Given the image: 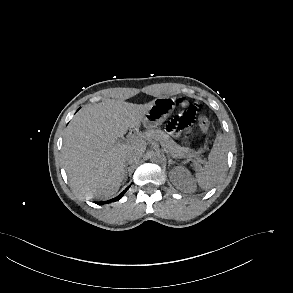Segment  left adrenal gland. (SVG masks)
Here are the masks:
<instances>
[{
    "instance_id": "left-adrenal-gland-1",
    "label": "left adrenal gland",
    "mask_w": 293,
    "mask_h": 293,
    "mask_svg": "<svg viewBox=\"0 0 293 293\" xmlns=\"http://www.w3.org/2000/svg\"><path fill=\"white\" fill-rule=\"evenodd\" d=\"M175 162L168 156V167H170L171 164H174Z\"/></svg>"
}]
</instances>
